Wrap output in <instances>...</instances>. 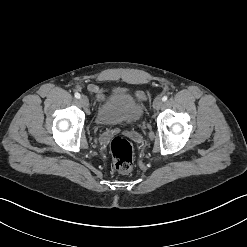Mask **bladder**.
Returning <instances> with one entry per match:
<instances>
[{"instance_id": "bladder-1", "label": "bladder", "mask_w": 247, "mask_h": 247, "mask_svg": "<svg viewBox=\"0 0 247 247\" xmlns=\"http://www.w3.org/2000/svg\"><path fill=\"white\" fill-rule=\"evenodd\" d=\"M143 106L124 89H116L96 113L95 123L99 126L117 125L126 121H138Z\"/></svg>"}]
</instances>
